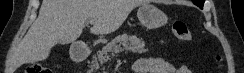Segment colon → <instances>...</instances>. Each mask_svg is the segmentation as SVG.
Masks as SVG:
<instances>
[{"mask_svg":"<svg viewBox=\"0 0 244 73\" xmlns=\"http://www.w3.org/2000/svg\"><path fill=\"white\" fill-rule=\"evenodd\" d=\"M172 33L174 37L183 42H190L192 34L189 25L182 20H175L172 23ZM220 58L218 57V61ZM25 73H51L50 69L39 64H33L26 68Z\"/></svg>","mask_w":244,"mask_h":73,"instance_id":"5ec220e1","label":"colon"}]
</instances>
